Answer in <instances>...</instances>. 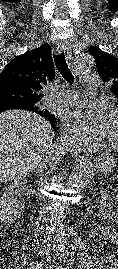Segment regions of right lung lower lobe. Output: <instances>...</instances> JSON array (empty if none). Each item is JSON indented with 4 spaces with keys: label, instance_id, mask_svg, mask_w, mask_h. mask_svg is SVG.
I'll return each mask as SVG.
<instances>
[{
    "label": "right lung lower lobe",
    "instance_id": "right-lung-lower-lobe-1",
    "mask_svg": "<svg viewBox=\"0 0 118 269\" xmlns=\"http://www.w3.org/2000/svg\"><path fill=\"white\" fill-rule=\"evenodd\" d=\"M10 109H23L33 111L29 106L20 103H5L0 105V113Z\"/></svg>",
    "mask_w": 118,
    "mask_h": 269
}]
</instances>
